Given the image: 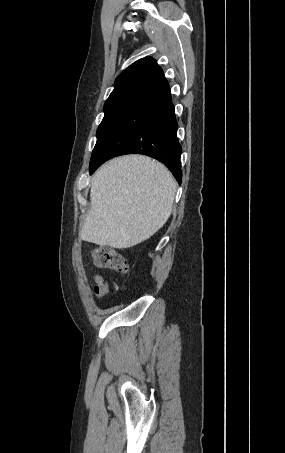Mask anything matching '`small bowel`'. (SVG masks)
Here are the masks:
<instances>
[{"label":"small bowel","mask_w":285,"mask_h":453,"mask_svg":"<svg viewBox=\"0 0 285 453\" xmlns=\"http://www.w3.org/2000/svg\"><path fill=\"white\" fill-rule=\"evenodd\" d=\"M95 285L93 287V296L96 298H102L109 291L108 281L100 275H94L93 277Z\"/></svg>","instance_id":"1"}]
</instances>
